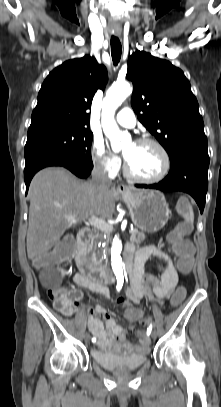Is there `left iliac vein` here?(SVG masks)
I'll return each instance as SVG.
<instances>
[{"mask_svg": "<svg viewBox=\"0 0 221 407\" xmlns=\"http://www.w3.org/2000/svg\"><path fill=\"white\" fill-rule=\"evenodd\" d=\"M151 336H152L153 339H155L156 336H157V335H156V332L154 331ZM147 343H148V341H147Z\"/></svg>", "mask_w": 221, "mask_h": 407, "instance_id": "1", "label": "left iliac vein"}]
</instances>
